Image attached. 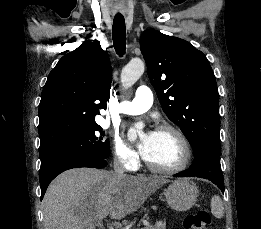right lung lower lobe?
I'll use <instances>...</instances> for the list:
<instances>
[{
    "instance_id": "right-lung-lower-lobe-1",
    "label": "right lung lower lobe",
    "mask_w": 261,
    "mask_h": 229,
    "mask_svg": "<svg viewBox=\"0 0 261 229\" xmlns=\"http://www.w3.org/2000/svg\"><path fill=\"white\" fill-rule=\"evenodd\" d=\"M105 166H107L106 159L100 158L61 161L42 166L40 169L41 200L49 183L63 171L79 167L104 168Z\"/></svg>"
}]
</instances>
